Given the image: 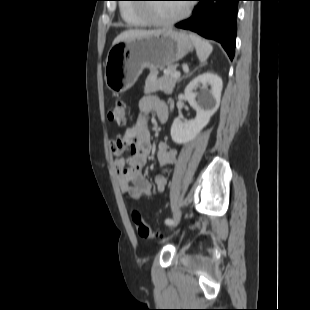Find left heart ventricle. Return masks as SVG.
<instances>
[{
    "label": "left heart ventricle",
    "mask_w": 310,
    "mask_h": 310,
    "mask_svg": "<svg viewBox=\"0 0 310 310\" xmlns=\"http://www.w3.org/2000/svg\"><path fill=\"white\" fill-rule=\"evenodd\" d=\"M183 8L174 4H159L151 8L154 16L159 18H172L177 16Z\"/></svg>",
    "instance_id": "1"
}]
</instances>
